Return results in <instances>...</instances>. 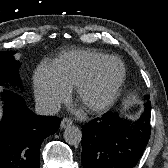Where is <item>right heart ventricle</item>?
Masks as SVG:
<instances>
[{"label":"right heart ventricle","instance_id":"obj_1","mask_svg":"<svg viewBox=\"0 0 168 168\" xmlns=\"http://www.w3.org/2000/svg\"><path fill=\"white\" fill-rule=\"evenodd\" d=\"M106 56L92 50H73L60 55L51 67L58 79L67 88L72 89L98 61Z\"/></svg>","mask_w":168,"mask_h":168}]
</instances>
